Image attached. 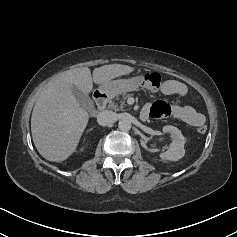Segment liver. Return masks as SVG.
Segmentation results:
<instances>
[{
  "instance_id": "obj_1",
  "label": "liver",
  "mask_w": 237,
  "mask_h": 237,
  "mask_svg": "<svg viewBox=\"0 0 237 237\" xmlns=\"http://www.w3.org/2000/svg\"><path fill=\"white\" fill-rule=\"evenodd\" d=\"M133 67L121 64L105 65L91 71L88 67L67 70L43 89L36 100L31 116L34 145L48 161L62 162L76 151L89 120L72 93V87L88 95L93 82L99 85L133 72Z\"/></svg>"
}]
</instances>
